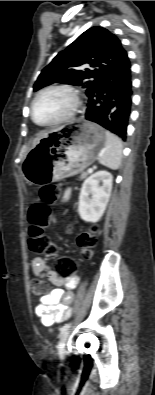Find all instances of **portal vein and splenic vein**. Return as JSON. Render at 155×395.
Wrapping results in <instances>:
<instances>
[{
    "label": "portal vein and splenic vein",
    "mask_w": 155,
    "mask_h": 395,
    "mask_svg": "<svg viewBox=\"0 0 155 395\" xmlns=\"http://www.w3.org/2000/svg\"><path fill=\"white\" fill-rule=\"evenodd\" d=\"M87 172H88V173H92V172H93V169H92V168H89V169L87 170Z\"/></svg>",
    "instance_id": "obj_1"
}]
</instances>
